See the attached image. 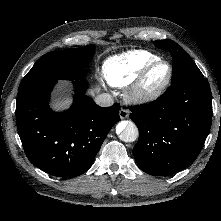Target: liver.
<instances>
[{
  "label": "liver",
  "mask_w": 221,
  "mask_h": 221,
  "mask_svg": "<svg viewBox=\"0 0 221 221\" xmlns=\"http://www.w3.org/2000/svg\"><path fill=\"white\" fill-rule=\"evenodd\" d=\"M94 91H96V90H94ZM94 91H92V92H94ZM60 100H61V102H63V98L62 99L60 98Z\"/></svg>",
  "instance_id": "1"
}]
</instances>
